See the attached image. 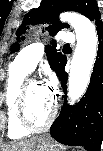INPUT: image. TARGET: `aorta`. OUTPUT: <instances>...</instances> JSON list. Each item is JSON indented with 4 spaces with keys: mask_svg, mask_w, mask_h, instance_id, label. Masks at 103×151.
I'll list each match as a JSON object with an SVG mask.
<instances>
[{
    "mask_svg": "<svg viewBox=\"0 0 103 151\" xmlns=\"http://www.w3.org/2000/svg\"><path fill=\"white\" fill-rule=\"evenodd\" d=\"M60 20L73 26L76 33L77 44L68 79V97L74 104L85 93L90 82L97 54L98 36L94 24L80 14L65 12L60 15Z\"/></svg>",
    "mask_w": 103,
    "mask_h": 151,
    "instance_id": "aorta-1",
    "label": "aorta"
}]
</instances>
